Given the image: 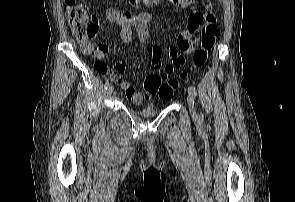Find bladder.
Returning <instances> with one entry per match:
<instances>
[{
    "instance_id": "bladder-1",
    "label": "bladder",
    "mask_w": 295,
    "mask_h": 202,
    "mask_svg": "<svg viewBox=\"0 0 295 202\" xmlns=\"http://www.w3.org/2000/svg\"><path fill=\"white\" fill-rule=\"evenodd\" d=\"M138 112L141 116L149 117L155 114L156 109L153 106H146L140 109Z\"/></svg>"
}]
</instances>
